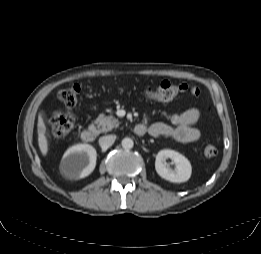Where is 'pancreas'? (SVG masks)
Listing matches in <instances>:
<instances>
[{"instance_id":"1","label":"pancreas","mask_w":261,"mask_h":254,"mask_svg":"<svg viewBox=\"0 0 261 254\" xmlns=\"http://www.w3.org/2000/svg\"><path fill=\"white\" fill-rule=\"evenodd\" d=\"M119 123L118 120L110 116H104L103 114L99 115L97 119L92 123L91 127L97 134L107 132L112 130L113 128L118 127Z\"/></svg>"}]
</instances>
